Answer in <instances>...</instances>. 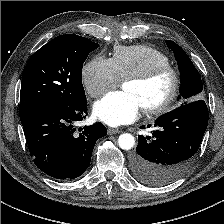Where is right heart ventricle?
Instances as JSON below:
<instances>
[{
    "mask_svg": "<svg viewBox=\"0 0 224 224\" xmlns=\"http://www.w3.org/2000/svg\"><path fill=\"white\" fill-rule=\"evenodd\" d=\"M111 60L121 80L153 66L169 64L166 54L146 45L116 46Z\"/></svg>",
    "mask_w": 224,
    "mask_h": 224,
    "instance_id": "obj_1",
    "label": "right heart ventricle"
}]
</instances>
